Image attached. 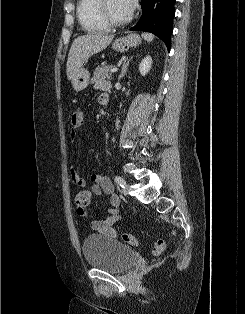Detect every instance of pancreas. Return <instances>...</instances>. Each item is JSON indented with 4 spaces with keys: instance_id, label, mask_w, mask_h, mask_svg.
Here are the masks:
<instances>
[{
    "instance_id": "cf45deb5",
    "label": "pancreas",
    "mask_w": 245,
    "mask_h": 314,
    "mask_svg": "<svg viewBox=\"0 0 245 314\" xmlns=\"http://www.w3.org/2000/svg\"><path fill=\"white\" fill-rule=\"evenodd\" d=\"M112 68L113 65L98 66L93 73L94 75L91 78V83L99 84L105 80H110L112 77L110 72Z\"/></svg>"
}]
</instances>
